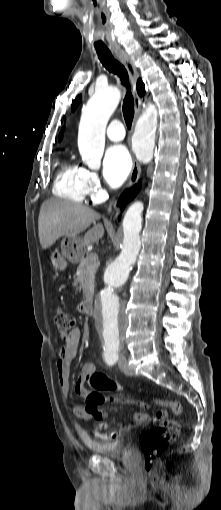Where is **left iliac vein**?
<instances>
[{"instance_id":"obj_1","label":"left iliac vein","mask_w":221,"mask_h":510,"mask_svg":"<svg viewBox=\"0 0 221 510\" xmlns=\"http://www.w3.org/2000/svg\"><path fill=\"white\" fill-rule=\"evenodd\" d=\"M119 368L121 369V371L123 373H125L126 375H132V371L127 363V359L124 357V356H121L119 358Z\"/></svg>"}]
</instances>
